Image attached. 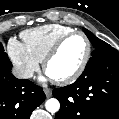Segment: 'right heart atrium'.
<instances>
[{
    "instance_id": "d8ad5b80",
    "label": "right heart atrium",
    "mask_w": 119,
    "mask_h": 119,
    "mask_svg": "<svg viewBox=\"0 0 119 119\" xmlns=\"http://www.w3.org/2000/svg\"><path fill=\"white\" fill-rule=\"evenodd\" d=\"M7 51L20 77L30 79L38 71L39 61L29 52L23 42L11 38L8 42Z\"/></svg>"
}]
</instances>
